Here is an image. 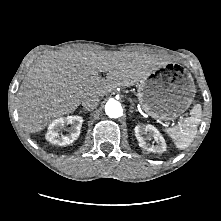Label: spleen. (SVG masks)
Here are the masks:
<instances>
[{
  "instance_id": "1",
  "label": "spleen",
  "mask_w": 221,
  "mask_h": 221,
  "mask_svg": "<svg viewBox=\"0 0 221 221\" xmlns=\"http://www.w3.org/2000/svg\"><path fill=\"white\" fill-rule=\"evenodd\" d=\"M191 116L181 124L166 129L175 146L181 150L187 148L197 134V126L201 118V105L197 104L191 110Z\"/></svg>"
}]
</instances>
